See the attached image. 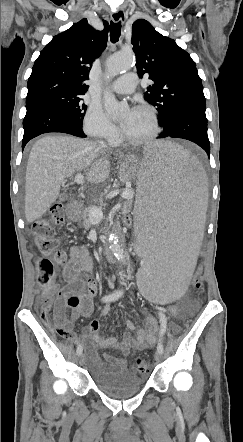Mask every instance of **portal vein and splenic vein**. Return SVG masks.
Listing matches in <instances>:
<instances>
[{
  "instance_id": "1",
  "label": "portal vein and splenic vein",
  "mask_w": 243,
  "mask_h": 442,
  "mask_svg": "<svg viewBox=\"0 0 243 442\" xmlns=\"http://www.w3.org/2000/svg\"><path fill=\"white\" fill-rule=\"evenodd\" d=\"M75 182L78 184H83L84 177L81 173H77L75 175ZM133 196H134V192L131 188H126L121 194L122 198L128 199V200L133 199ZM89 216L92 221H100L103 217V213L98 208H92L89 212Z\"/></svg>"
}]
</instances>
